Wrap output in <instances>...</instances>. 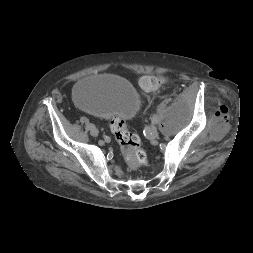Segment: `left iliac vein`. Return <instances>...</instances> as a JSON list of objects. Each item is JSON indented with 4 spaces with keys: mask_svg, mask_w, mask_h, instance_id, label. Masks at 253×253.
Returning a JSON list of instances; mask_svg holds the SVG:
<instances>
[{
    "mask_svg": "<svg viewBox=\"0 0 253 253\" xmlns=\"http://www.w3.org/2000/svg\"><path fill=\"white\" fill-rule=\"evenodd\" d=\"M150 135L156 137L158 135V130L156 126H151Z\"/></svg>",
    "mask_w": 253,
    "mask_h": 253,
    "instance_id": "1",
    "label": "left iliac vein"
}]
</instances>
